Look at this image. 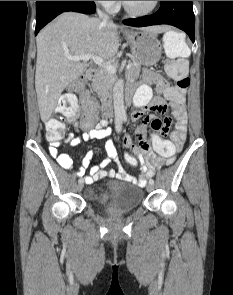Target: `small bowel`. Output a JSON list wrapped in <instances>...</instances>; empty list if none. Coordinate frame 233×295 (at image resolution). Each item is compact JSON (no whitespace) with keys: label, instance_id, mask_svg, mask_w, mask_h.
I'll return each instance as SVG.
<instances>
[{"label":"small bowel","instance_id":"obj_1","mask_svg":"<svg viewBox=\"0 0 233 295\" xmlns=\"http://www.w3.org/2000/svg\"><path fill=\"white\" fill-rule=\"evenodd\" d=\"M146 84L141 85L136 92L134 104L135 110L131 114L133 122L140 121L137 131L135 133V140L131 136L124 137V146L132 150L138 157L140 162V174L138 178H134L125 173L121 165L117 149L110 138L111 129L108 127V121L102 119L96 121L95 115L89 116L91 111L96 110V104L92 96L88 92H84L80 96V103L82 108V117L77 125V129L82 131V136H75L70 134L66 140L71 146H78L83 140L89 139H104L105 150L107 158L99 165H94L90 168L89 175L85 177V182L91 184L94 181L103 178H117L127 181H132L135 184L143 186L147 179L152 177L156 168L167 166L174 160V153L171 156H155L147 141V129L151 127L155 131L167 133L170 126L174 123V130L170 134V141L175 147V151L180 150L186 139L187 132V114L185 109V96L179 94L171 95L170 87L166 81L156 72L147 70L144 74ZM151 85H156L157 95L153 96ZM168 109H172V118L166 117L161 120L155 117L150 112H158L161 114L167 113ZM59 143H50L49 152L57 162L66 169H70L73 165L71 157L67 154H60L58 151ZM94 155L93 150H89L82 161V166L76 172V175L83 176L90 165L91 159ZM117 164V169H105L111 163Z\"/></svg>","mask_w":233,"mask_h":295}]
</instances>
